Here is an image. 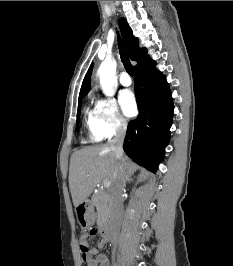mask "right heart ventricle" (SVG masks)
I'll return each mask as SVG.
<instances>
[{"label":"right heart ventricle","mask_w":233,"mask_h":266,"mask_svg":"<svg viewBox=\"0 0 233 266\" xmlns=\"http://www.w3.org/2000/svg\"><path fill=\"white\" fill-rule=\"evenodd\" d=\"M97 118L96 107L94 109L86 108L85 110V125L89 131V137L91 141L98 142L102 139L100 135L94 129V125Z\"/></svg>","instance_id":"1"}]
</instances>
